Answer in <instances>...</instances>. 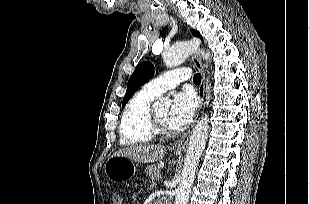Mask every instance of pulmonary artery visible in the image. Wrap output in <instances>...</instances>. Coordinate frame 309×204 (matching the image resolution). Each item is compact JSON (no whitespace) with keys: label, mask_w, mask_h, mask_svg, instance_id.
<instances>
[{"label":"pulmonary artery","mask_w":309,"mask_h":204,"mask_svg":"<svg viewBox=\"0 0 309 204\" xmlns=\"http://www.w3.org/2000/svg\"><path fill=\"white\" fill-rule=\"evenodd\" d=\"M190 76V71L187 69L172 70L147 82L143 86V91L153 96H159L188 80Z\"/></svg>","instance_id":"1"}]
</instances>
